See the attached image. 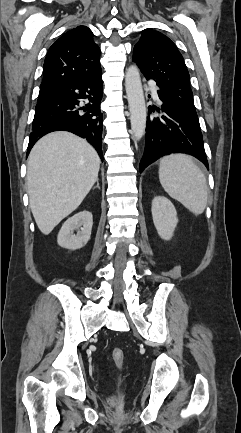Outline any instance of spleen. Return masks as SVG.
Returning a JSON list of instances; mask_svg holds the SVG:
<instances>
[{"label":"spleen","instance_id":"spleen-1","mask_svg":"<svg viewBox=\"0 0 241 433\" xmlns=\"http://www.w3.org/2000/svg\"><path fill=\"white\" fill-rule=\"evenodd\" d=\"M159 180L169 196L194 215L202 214L207 205L208 188L204 173L185 154H171L160 161Z\"/></svg>","mask_w":241,"mask_h":433}]
</instances>
